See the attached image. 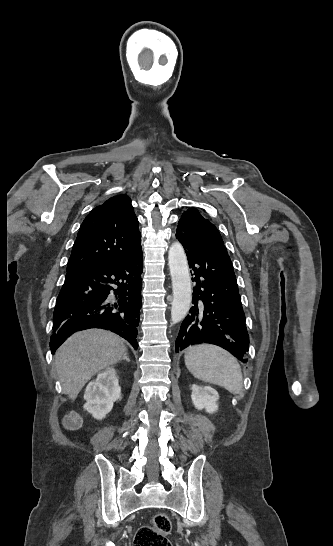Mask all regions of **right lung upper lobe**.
<instances>
[{
	"mask_svg": "<svg viewBox=\"0 0 333 546\" xmlns=\"http://www.w3.org/2000/svg\"><path fill=\"white\" fill-rule=\"evenodd\" d=\"M138 220L126 195L109 198L94 208L80 226L67 272L119 262L141 248Z\"/></svg>",
	"mask_w": 333,
	"mask_h": 546,
	"instance_id": "cb5924a9",
	"label": "right lung upper lobe"
}]
</instances>
